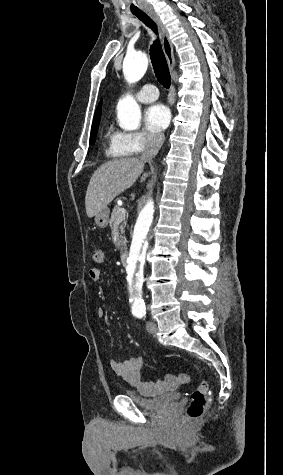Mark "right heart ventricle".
Instances as JSON below:
<instances>
[{
	"instance_id": "e07e8e85",
	"label": "right heart ventricle",
	"mask_w": 283,
	"mask_h": 475,
	"mask_svg": "<svg viewBox=\"0 0 283 475\" xmlns=\"http://www.w3.org/2000/svg\"><path fill=\"white\" fill-rule=\"evenodd\" d=\"M117 134H118V131L115 128L113 123H111V122H105L104 123V125L102 127V135H103V137L106 141V144L108 145L107 152L110 155H113L112 151H111V146H112V142L115 139Z\"/></svg>"
}]
</instances>
